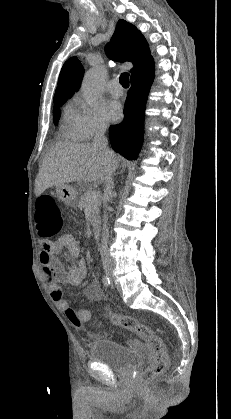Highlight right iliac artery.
Masks as SVG:
<instances>
[{"label":"right iliac artery","instance_id":"right-iliac-artery-1","mask_svg":"<svg viewBox=\"0 0 231 419\" xmlns=\"http://www.w3.org/2000/svg\"><path fill=\"white\" fill-rule=\"evenodd\" d=\"M102 282H103L104 286H106V287H108L110 285V283H111V281H110V279H109L108 276H103Z\"/></svg>","mask_w":231,"mask_h":419}]
</instances>
